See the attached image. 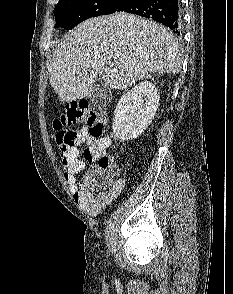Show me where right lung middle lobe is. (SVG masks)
<instances>
[{
	"label": "right lung middle lobe",
	"instance_id": "1",
	"mask_svg": "<svg viewBox=\"0 0 233 294\" xmlns=\"http://www.w3.org/2000/svg\"><path fill=\"white\" fill-rule=\"evenodd\" d=\"M123 0H59L54 8L55 28L72 29L82 21L114 13Z\"/></svg>",
	"mask_w": 233,
	"mask_h": 294
}]
</instances>
